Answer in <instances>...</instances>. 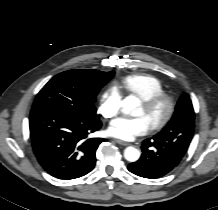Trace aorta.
<instances>
[{
  "label": "aorta",
  "instance_id": "762f6f07",
  "mask_svg": "<svg viewBox=\"0 0 218 210\" xmlns=\"http://www.w3.org/2000/svg\"><path fill=\"white\" fill-rule=\"evenodd\" d=\"M140 105V100L133 96H127L121 101V111L125 115L134 116L135 110ZM124 157L129 162H135L140 157V151L132 146L124 150Z\"/></svg>",
  "mask_w": 218,
  "mask_h": 210
}]
</instances>
